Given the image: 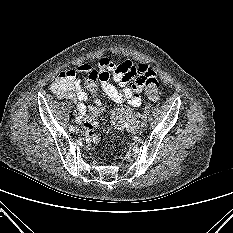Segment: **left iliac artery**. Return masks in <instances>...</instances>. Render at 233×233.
Returning <instances> with one entry per match:
<instances>
[{
    "mask_svg": "<svg viewBox=\"0 0 233 233\" xmlns=\"http://www.w3.org/2000/svg\"><path fill=\"white\" fill-rule=\"evenodd\" d=\"M141 118H142V120H145V121H146V119H147L146 114H143Z\"/></svg>",
    "mask_w": 233,
    "mask_h": 233,
    "instance_id": "1",
    "label": "left iliac artery"
}]
</instances>
